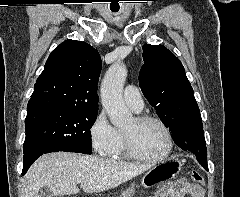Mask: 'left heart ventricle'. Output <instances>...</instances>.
<instances>
[{
    "mask_svg": "<svg viewBox=\"0 0 240 197\" xmlns=\"http://www.w3.org/2000/svg\"><path fill=\"white\" fill-rule=\"evenodd\" d=\"M124 132L130 134L138 150L149 157H158L167 149L166 133L156 122L137 123L133 119Z\"/></svg>",
    "mask_w": 240,
    "mask_h": 197,
    "instance_id": "obj_1",
    "label": "left heart ventricle"
}]
</instances>
